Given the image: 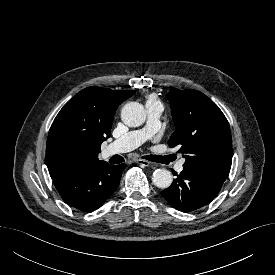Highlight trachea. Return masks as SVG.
Returning a JSON list of instances; mask_svg holds the SVG:
<instances>
[{
    "label": "trachea",
    "instance_id": "obj_1",
    "mask_svg": "<svg viewBox=\"0 0 275 275\" xmlns=\"http://www.w3.org/2000/svg\"><path fill=\"white\" fill-rule=\"evenodd\" d=\"M142 158L147 159L149 161L157 162V163H164L167 164L168 158L165 156H159V155H148V156H143ZM124 162V158L116 155L113 157V164H119Z\"/></svg>",
    "mask_w": 275,
    "mask_h": 275
}]
</instances>
